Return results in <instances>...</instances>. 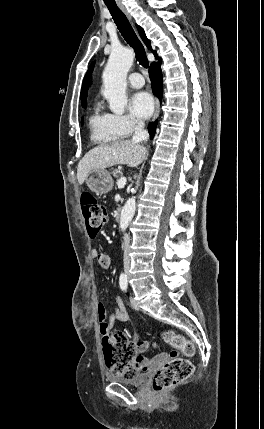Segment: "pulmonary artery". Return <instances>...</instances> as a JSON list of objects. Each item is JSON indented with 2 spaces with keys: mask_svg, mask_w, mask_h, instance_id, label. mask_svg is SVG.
I'll return each instance as SVG.
<instances>
[{
  "mask_svg": "<svg viewBox=\"0 0 264 429\" xmlns=\"http://www.w3.org/2000/svg\"><path fill=\"white\" fill-rule=\"evenodd\" d=\"M128 83L133 88H141L144 85V78L140 73L134 72L128 76Z\"/></svg>",
  "mask_w": 264,
  "mask_h": 429,
  "instance_id": "e3ab8cb5",
  "label": "pulmonary artery"
}]
</instances>
